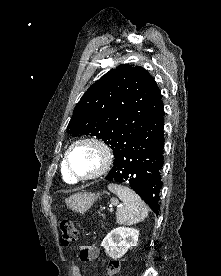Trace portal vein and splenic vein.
<instances>
[{
  "instance_id": "obj_1",
  "label": "portal vein and splenic vein",
  "mask_w": 221,
  "mask_h": 276,
  "mask_svg": "<svg viewBox=\"0 0 221 276\" xmlns=\"http://www.w3.org/2000/svg\"><path fill=\"white\" fill-rule=\"evenodd\" d=\"M109 211H110V212L113 211L112 205H110Z\"/></svg>"
}]
</instances>
